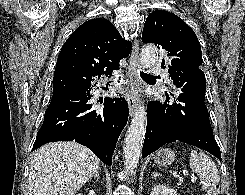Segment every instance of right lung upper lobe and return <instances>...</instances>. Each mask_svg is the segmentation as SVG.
<instances>
[{"label":"right lung upper lobe","mask_w":245,"mask_h":195,"mask_svg":"<svg viewBox=\"0 0 245 195\" xmlns=\"http://www.w3.org/2000/svg\"><path fill=\"white\" fill-rule=\"evenodd\" d=\"M132 44L123 39L106 19H92L81 26L64 43L57 59L53 94L91 85L95 78L119 69Z\"/></svg>","instance_id":"right-lung-upper-lobe-1"}]
</instances>
